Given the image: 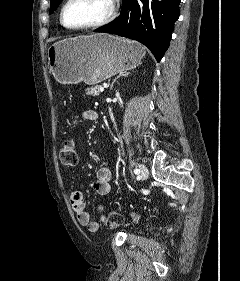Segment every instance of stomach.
Masks as SVG:
<instances>
[{"label":"stomach","mask_w":240,"mask_h":281,"mask_svg":"<svg viewBox=\"0 0 240 281\" xmlns=\"http://www.w3.org/2000/svg\"><path fill=\"white\" fill-rule=\"evenodd\" d=\"M144 54L141 44L105 34L67 38L47 51L50 72L59 83L89 85L134 69Z\"/></svg>","instance_id":"0dacf381"}]
</instances>
